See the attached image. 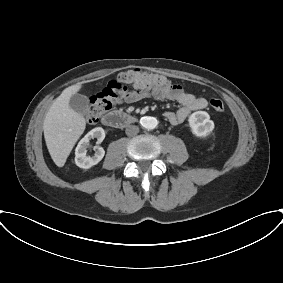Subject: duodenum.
I'll list each match as a JSON object with an SVG mask.
<instances>
[{"label": "duodenum", "instance_id": "410a0bca", "mask_svg": "<svg viewBox=\"0 0 283 283\" xmlns=\"http://www.w3.org/2000/svg\"><path fill=\"white\" fill-rule=\"evenodd\" d=\"M137 121L136 117L118 110L110 111L102 117V123L109 127L121 128Z\"/></svg>", "mask_w": 283, "mask_h": 283}]
</instances>
